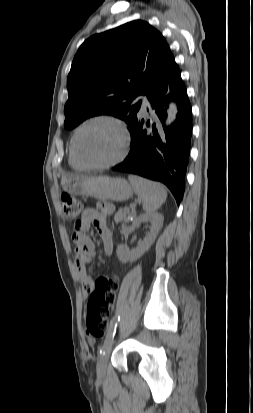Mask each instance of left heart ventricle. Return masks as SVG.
<instances>
[{
  "mask_svg": "<svg viewBox=\"0 0 253 413\" xmlns=\"http://www.w3.org/2000/svg\"><path fill=\"white\" fill-rule=\"evenodd\" d=\"M121 146L117 128L105 122L85 127L77 138L78 153L88 163H104L114 159L120 153Z\"/></svg>",
  "mask_w": 253,
  "mask_h": 413,
  "instance_id": "obj_1",
  "label": "left heart ventricle"
}]
</instances>
